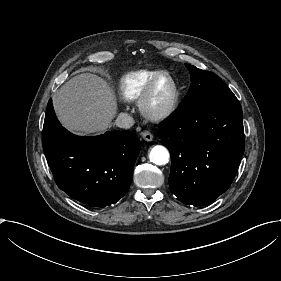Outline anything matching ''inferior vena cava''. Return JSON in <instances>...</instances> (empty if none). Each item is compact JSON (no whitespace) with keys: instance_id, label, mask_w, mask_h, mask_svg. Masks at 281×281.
<instances>
[{"instance_id":"602c4592","label":"inferior vena cava","mask_w":281,"mask_h":281,"mask_svg":"<svg viewBox=\"0 0 281 281\" xmlns=\"http://www.w3.org/2000/svg\"><path fill=\"white\" fill-rule=\"evenodd\" d=\"M114 123L118 128L129 129L134 125V118L128 113H121L118 115Z\"/></svg>"}]
</instances>
